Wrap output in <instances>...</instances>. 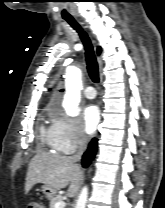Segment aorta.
Returning <instances> with one entry per match:
<instances>
[{"mask_svg": "<svg viewBox=\"0 0 165 208\" xmlns=\"http://www.w3.org/2000/svg\"><path fill=\"white\" fill-rule=\"evenodd\" d=\"M68 79L66 81V94L63 106L69 116L78 114L77 107L80 101V92L82 90L81 71L78 68H71L67 71ZM88 199V188L81 190L75 208H86Z\"/></svg>", "mask_w": 165, "mask_h": 208, "instance_id": "1", "label": "aorta"}]
</instances>
